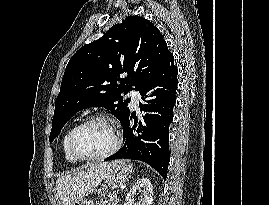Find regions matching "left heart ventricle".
<instances>
[{"label":"left heart ventricle","mask_w":269,"mask_h":205,"mask_svg":"<svg viewBox=\"0 0 269 205\" xmlns=\"http://www.w3.org/2000/svg\"><path fill=\"white\" fill-rule=\"evenodd\" d=\"M114 139L109 126L100 121L92 122L79 130L75 148L82 156H95L109 150Z\"/></svg>","instance_id":"b2bd125f"}]
</instances>
